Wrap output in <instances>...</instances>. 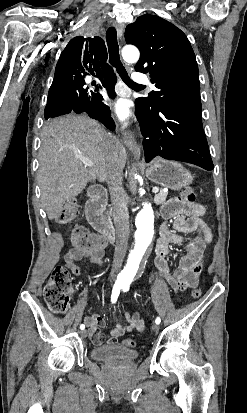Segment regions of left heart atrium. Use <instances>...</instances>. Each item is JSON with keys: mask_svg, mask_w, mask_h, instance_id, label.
Returning <instances> with one entry per match:
<instances>
[{"mask_svg": "<svg viewBox=\"0 0 247 413\" xmlns=\"http://www.w3.org/2000/svg\"><path fill=\"white\" fill-rule=\"evenodd\" d=\"M110 107L120 120L126 122L129 119L130 112L128 110L126 101L118 99L114 102H111Z\"/></svg>", "mask_w": 247, "mask_h": 413, "instance_id": "obj_1", "label": "left heart atrium"}]
</instances>
